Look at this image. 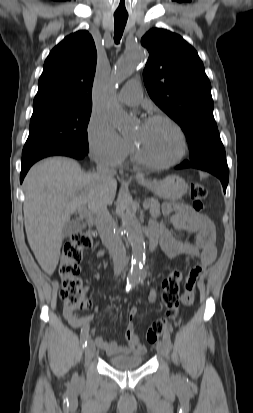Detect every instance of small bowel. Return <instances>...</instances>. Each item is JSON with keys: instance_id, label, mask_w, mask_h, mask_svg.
Listing matches in <instances>:
<instances>
[{"instance_id": "c3829d8e", "label": "small bowel", "mask_w": 253, "mask_h": 413, "mask_svg": "<svg viewBox=\"0 0 253 413\" xmlns=\"http://www.w3.org/2000/svg\"><path fill=\"white\" fill-rule=\"evenodd\" d=\"M163 213L169 216L171 225L180 231H186L196 235L194 242L181 241L176 239L164 223L151 221L150 231L160 239L163 251L171 258L180 256H191L197 258L200 264L193 267L190 273H185L180 284V303L184 309H191L195 297V283L205 267L211 265L217 256L215 244L214 226L209 218L196 212L190 205L181 202H170L163 206ZM101 255V253H99ZM149 300L156 302V290H151ZM136 309H132L129 315V322L125 331V338L128 346H121L115 341H105L98 336L94 339L98 348L105 351L109 356L120 354L143 355L146 347L134 332L133 319ZM64 316L69 324L79 329L81 333L88 331L92 322V315L79 316L75 312L64 311Z\"/></svg>"}]
</instances>
